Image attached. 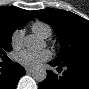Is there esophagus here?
I'll list each match as a JSON object with an SVG mask.
<instances>
[{"label":"esophagus","instance_id":"34e87169","mask_svg":"<svg viewBox=\"0 0 89 89\" xmlns=\"http://www.w3.org/2000/svg\"><path fill=\"white\" fill-rule=\"evenodd\" d=\"M32 71H33L32 68H26V72H27V73H31Z\"/></svg>","mask_w":89,"mask_h":89}]
</instances>
